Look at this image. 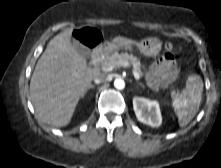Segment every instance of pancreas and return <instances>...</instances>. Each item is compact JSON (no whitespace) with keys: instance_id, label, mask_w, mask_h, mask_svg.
<instances>
[{"instance_id":"obj_1","label":"pancreas","mask_w":221,"mask_h":168,"mask_svg":"<svg viewBox=\"0 0 221 168\" xmlns=\"http://www.w3.org/2000/svg\"><path fill=\"white\" fill-rule=\"evenodd\" d=\"M128 62L130 65H132L135 69V71L139 74V76H143L142 70H141V63L140 59L132 54L128 53H113L111 55L106 56L104 59L101 60L102 66H110V65H116L117 62ZM119 67V66H115ZM178 93L176 91H172L171 96L175 97Z\"/></svg>"}]
</instances>
